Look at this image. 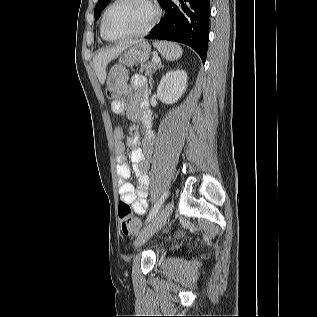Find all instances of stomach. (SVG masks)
<instances>
[{"mask_svg": "<svg viewBox=\"0 0 317 317\" xmlns=\"http://www.w3.org/2000/svg\"><path fill=\"white\" fill-rule=\"evenodd\" d=\"M150 51V45L146 42L133 43L120 55L114 65L117 68H128L129 70H132L133 66H145V62L149 59Z\"/></svg>", "mask_w": 317, "mask_h": 317, "instance_id": "1", "label": "stomach"}]
</instances>
